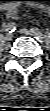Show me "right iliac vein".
Masks as SVG:
<instances>
[{"instance_id":"right-iliac-vein-1","label":"right iliac vein","mask_w":50,"mask_h":111,"mask_svg":"<svg viewBox=\"0 0 50 111\" xmlns=\"http://www.w3.org/2000/svg\"><path fill=\"white\" fill-rule=\"evenodd\" d=\"M12 38H13L12 33H8V34H6V36H5V39H6L7 41H10Z\"/></svg>"}]
</instances>
